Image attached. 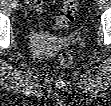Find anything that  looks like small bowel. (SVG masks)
Listing matches in <instances>:
<instances>
[{"instance_id": "c3829d8e", "label": "small bowel", "mask_w": 111, "mask_h": 106, "mask_svg": "<svg viewBox=\"0 0 111 106\" xmlns=\"http://www.w3.org/2000/svg\"><path fill=\"white\" fill-rule=\"evenodd\" d=\"M29 4L34 7L39 9L40 5H41V1L40 0H30Z\"/></svg>"}]
</instances>
